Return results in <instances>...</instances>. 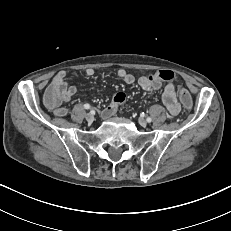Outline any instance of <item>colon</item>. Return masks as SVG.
Wrapping results in <instances>:
<instances>
[{"label": "colon", "instance_id": "obj_1", "mask_svg": "<svg viewBox=\"0 0 231 231\" xmlns=\"http://www.w3.org/2000/svg\"><path fill=\"white\" fill-rule=\"evenodd\" d=\"M155 77L161 81H170L174 78V73L170 70H160L155 73ZM59 87L56 84H49L43 94L42 105L45 108H50L56 104L55 95L58 94ZM177 97L180 105L187 112H192L195 109L194 101L191 93L186 88H179L177 90ZM126 100V95L123 92H115L112 98V104L119 106Z\"/></svg>", "mask_w": 231, "mask_h": 231}]
</instances>
